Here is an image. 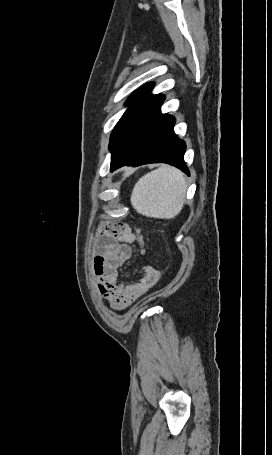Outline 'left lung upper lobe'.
<instances>
[{"mask_svg": "<svg viewBox=\"0 0 272 455\" xmlns=\"http://www.w3.org/2000/svg\"><path fill=\"white\" fill-rule=\"evenodd\" d=\"M154 83H148L133 92V94L128 98L126 105L128 109L125 111L119 122L116 124L110 139L109 148L111 149L114 144L117 136L126 125V123L147 103L154 99L157 95L150 94L151 89L153 88Z\"/></svg>", "mask_w": 272, "mask_h": 455, "instance_id": "obj_1", "label": "left lung upper lobe"}]
</instances>
